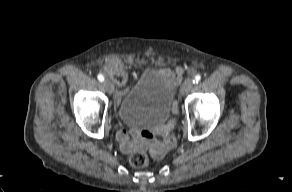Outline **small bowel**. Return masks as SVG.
Instances as JSON below:
<instances>
[{
  "label": "small bowel",
  "instance_id": "1",
  "mask_svg": "<svg viewBox=\"0 0 292 192\" xmlns=\"http://www.w3.org/2000/svg\"><path fill=\"white\" fill-rule=\"evenodd\" d=\"M160 72L173 84L179 83L183 75V69L181 67H176L174 70L164 68L161 69ZM120 96L121 95H119L118 98ZM174 133L175 130L171 126H168L165 129H159L157 135L159 138L163 139L159 142L154 138L156 134L155 129L148 127L145 131L134 130L132 133V139L125 131L120 130L117 133V138L122 151L125 153L143 152L148 146L152 153L159 157L165 154L166 151L172 147L174 143L172 136Z\"/></svg>",
  "mask_w": 292,
  "mask_h": 192
}]
</instances>
